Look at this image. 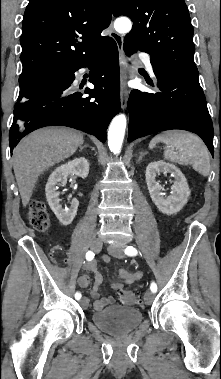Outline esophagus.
Segmentation results:
<instances>
[{"mask_svg":"<svg viewBox=\"0 0 221 379\" xmlns=\"http://www.w3.org/2000/svg\"><path fill=\"white\" fill-rule=\"evenodd\" d=\"M109 35L114 39L117 44L119 57H120V72H121V88H120V98H121V108L124 110L127 107L129 90L127 87V65L126 57L123 51V37L114 31L112 23L109 26Z\"/></svg>","mask_w":221,"mask_h":379,"instance_id":"esophagus-1","label":"esophagus"}]
</instances>
